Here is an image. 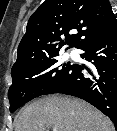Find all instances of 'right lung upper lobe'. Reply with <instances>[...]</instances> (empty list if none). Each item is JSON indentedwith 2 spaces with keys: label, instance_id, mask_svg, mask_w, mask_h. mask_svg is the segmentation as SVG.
Wrapping results in <instances>:
<instances>
[{
  "label": "right lung upper lobe",
  "instance_id": "right-lung-upper-lobe-1",
  "mask_svg": "<svg viewBox=\"0 0 117 131\" xmlns=\"http://www.w3.org/2000/svg\"><path fill=\"white\" fill-rule=\"evenodd\" d=\"M116 28L108 0H45L28 21L12 70L59 52L67 44L80 49ZM73 30L78 32L69 34Z\"/></svg>",
  "mask_w": 117,
  "mask_h": 131
}]
</instances>
